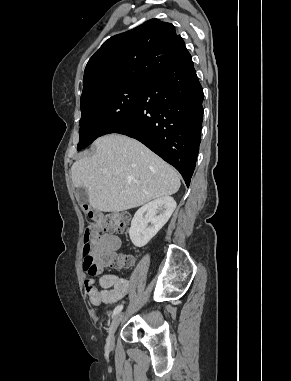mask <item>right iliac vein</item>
Listing matches in <instances>:
<instances>
[{"label": "right iliac vein", "instance_id": "right-iliac-vein-1", "mask_svg": "<svg viewBox=\"0 0 291 381\" xmlns=\"http://www.w3.org/2000/svg\"><path fill=\"white\" fill-rule=\"evenodd\" d=\"M123 312H120L118 314H116L111 322V325L109 327V331H108V338H107V342L110 346L113 345L114 343V335H115V332L120 324V322L122 321L123 319Z\"/></svg>", "mask_w": 291, "mask_h": 381}]
</instances>
